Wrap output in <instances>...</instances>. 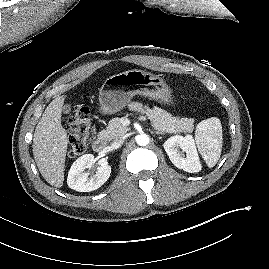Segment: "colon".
<instances>
[{"label": "colon", "mask_w": 269, "mask_h": 269, "mask_svg": "<svg viewBox=\"0 0 269 269\" xmlns=\"http://www.w3.org/2000/svg\"><path fill=\"white\" fill-rule=\"evenodd\" d=\"M68 155L75 157L85 152L91 136V119L87 107L77 105L68 116Z\"/></svg>", "instance_id": "5ec220e1"}]
</instances>
